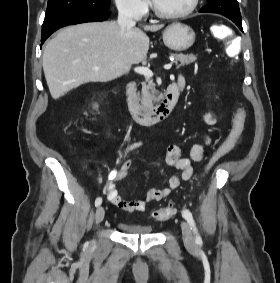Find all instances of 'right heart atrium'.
Segmentation results:
<instances>
[{"mask_svg": "<svg viewBox=\"0 0 280 283\" xmlns=\"http://www.w3.org/2000/svg\"><path fill=\"white\" fill-rule=\"evenodd\" d=\"M120 13L136 20L147 16L150 8L148 0H115Z\"/></svg>", "mask_w": 280, "mask_h": 283, "instance_id": "1", "label": "right heart atrium"}]
</instances>
